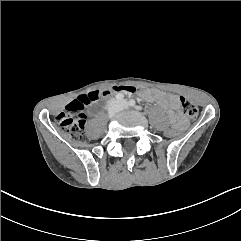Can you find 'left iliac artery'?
<instances>
[{
  "instance_id": "44dca946",
  "label": "left iliac artery",
  "mask_w": 241,
  "mask_h": 241,
  "mask_svg": "<svg viewBox=\"0 0 241 241\" xmlns=\"http://www.w3.org/2000/svg\"><path fill=\"white\" fill-rule=\"evenodd\" d=\"M129 105H130V106H135V100L131 99V100L129 101ZM136 108H137L138 110L141 109L139 106H136Z\"/></svg>"
}]
</instances>
